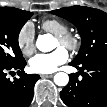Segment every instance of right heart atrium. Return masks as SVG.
Instances as JSON below:
<instances>
[{"mask_svg":"<svg viewBox=\"0 0 107 107\" xmlns=\"http://www.w3.org/2000/svg\"><path fill=\"white\" fill-rule=\"evenodd\" d=\"M17 43L22 51V53L26 56H29L35 51V30L31 23H26L20 29L17 37Z\"/></svg>","mask_w":107,"mask_h":107,"instance_id":"1","label":"right heart atrium"}]
</instances>
